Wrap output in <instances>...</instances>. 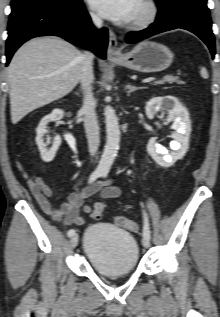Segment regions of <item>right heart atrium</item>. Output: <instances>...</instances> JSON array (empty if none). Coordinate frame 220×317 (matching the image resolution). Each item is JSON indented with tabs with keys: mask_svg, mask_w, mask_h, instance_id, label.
Instances as JSON below:
<instances>
[{
	"mask_svg": "<svg viewBox=\"0 0 220 317\" xmlns=\"http://www.w3.org/2000/svg\"><path fill=\"white\" fill-rule=\"evenodd\" d=\"M90 18L94 23H100V18L93 12H90Z\"/></svg>",
	"mask_w": 220,
	"mask_h": 317,
	"instance_id": "1",
	"label": "right heart atrium"
}]
</instances>
